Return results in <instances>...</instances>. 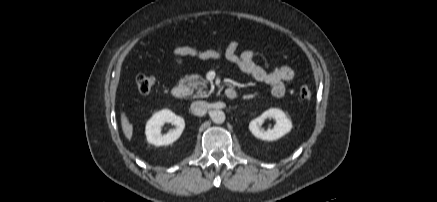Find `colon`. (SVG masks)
<instances>
[{
    "mask_svg": "<svg viewBox=\"0 0 437 202\" xmlns=\"http://www.w3.org/2000/svg\"><path fill=\"white\" fill-rule=\"evenodd\" d=\"M136 85L140 93H149L156 85V78L149 74H139L136 77ZM312 96V91L308 86H302L299 90V97L308 101Z\"/></svg>",
    "mask_w": 437,
    "mask_h": 202,
    "instance_id": "1",
    "label": "colon"
}]
</instances>
